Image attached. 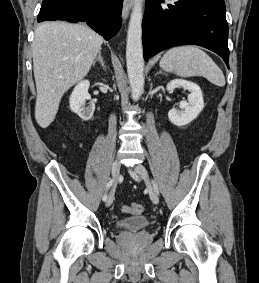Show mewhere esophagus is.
I'll return each mask as SVG.
<instances>
[{"label": "esophagus", "instance_id": "34e87169", "mask_svg": "<svg viewBox=\"0 0 259 283\" xmlns=\"http://www.w3.org/2000/svg\"><path fill=\"white\" fill-rule=\"evenodd\" d=\"M132 4H133V0H124L123 9H122L123 20H127Z\"/></svg>", "mask_w": 259, "mask_h": 283}]
</instances>
